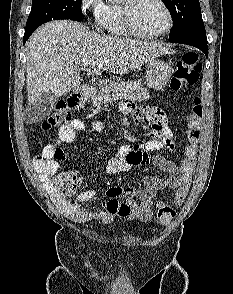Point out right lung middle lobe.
<instances>
[{
    "label": "right lung middle lobe",
    "instance_id": "1",
    "mask_svg": "<svg viewBox=\"0 0 233 294\" xmlns=\"http://www.w3.org/2000/svg\"><path fill=\"white\" fill-rule=\"evenodd\" d=\"M82 0H33L26 31L33 32L45 22L58 19L82 21Z\"/></svg>",
    "mask_w": 233,
    "mask_h": 294
}]
</instances>
